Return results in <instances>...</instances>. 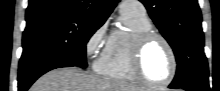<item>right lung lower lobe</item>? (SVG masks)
<instances>
[{"label":"right lung lower lobe","instance_id":"98d812e1","mask_svg":"<svg viewBox=\"0 0 220 91\" xmlns=\"http://www.w3.org/2000/svg\"><path fill=\"white\" fill-rule=\"evenodd\" d=\"M71 66L75 65L60 59L46 60L30 66L27 69L19 72L18 91H26L37 78L52 69Z\"/></svg>","mask_w":220,"mask_h":91}]
</instances>
